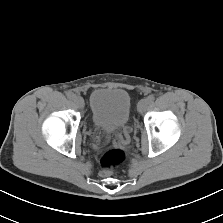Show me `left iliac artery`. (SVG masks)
I'll return each mask as SVG.
<instances>
[{
	"instance_id": "left-iliac-artery-1",
	"label": "left iliac artery",
	"mask_w": 223,
	"mask_h": 223,
	"mask_svg": "<svg viewBox=\"0 0 223 223\" xmlns=\"http://www.w3.org/2000/svg\"><path fill=\"white\" fill-rule=\"evenodd\" d=\"M147 100L149 103L153 102L155 100V95L151 94L147 97Z\"/></svg>"
}]
</instances>
